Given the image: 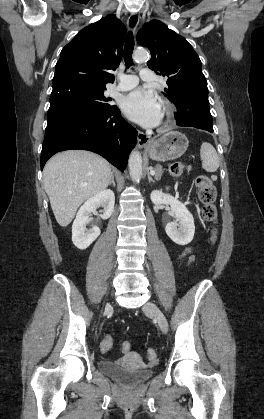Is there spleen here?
<instances>
[{"label":"spleen","mask_w":264,"mask_h":419,"mask_svg":"<svg viewBox=\"0 0 264 419\" xmlns=\"http://www.w3.org/2000/svg\"><path fill=\"white\" fill-rule=\"evenodd\" d=\"M202 168L207 172H215L219 167V156L215 148L208 142H203L200 149Z\"/></svg>","instance_id":"1"}]
</instances>
